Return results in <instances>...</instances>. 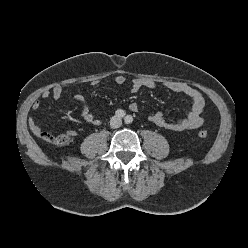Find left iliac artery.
I'll return each mask as SVG.
<instances>
[{
    "instance_id": "left-iliac-artery-1",
    "label": "left iliac artery",
    "mask_w": 248,
    "mask_h": 248,
    "mask_svg": "<svg viewBox=\"0 0 248 248\" xmlns=\"http://www.w3.org/2000/svg\"><path fill=\"white\" fill-rule=\"evenodd\" d=\"M132 121H133V118L131 115H127L125 117V123L130 124V123H132Z\"/></svg>"
}]
</instances>
